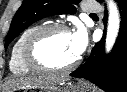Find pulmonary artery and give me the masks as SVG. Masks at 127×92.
<instances>
[{
    "label": "pulmonary artery",
    "instance_id": "obj_1",
    "mask_svg": "<svg viewBox=\"0 0 127 92\" xmlns=\"http://www.w3.org/2000/svg\"><path fill=\"white\" fill-rule=\"evenodd\" d=\"M84 11L85 12H99L100 6L95 4L86 5V7L84 8Z\"/></svg>",
    "mask_w": 127,
    "mask_h": 92
}]
</instances>
